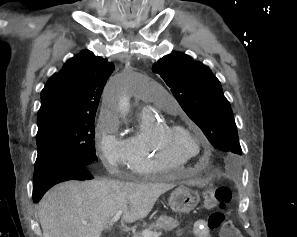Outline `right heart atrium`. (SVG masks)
<instances>
[{
    "label": "right heart atrium",
    "instance_id": "1",
    "mask_svg": "<svg viewBox=\"0 0 297 237\" xmlns=\"http://www.w3.org/2000/svg\"><path fill=\"white\" fill-rule=\"evenodd\" d=\"M96 145L104 164L115 173L127 164V140L120 132L117 115L110 109H104L96 126Z\"/></svg>",
    "mask_w": 297,
    "mask_h": 237
}]
</instances>
